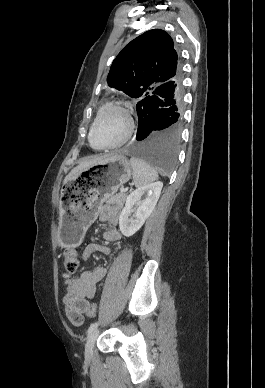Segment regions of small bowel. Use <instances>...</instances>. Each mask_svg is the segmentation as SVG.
I'll use <instances>...</instances> for the list:
<instances>
[{
    "instance_id": "c3829d8e",
    "label": "small bowel",
    "mask_w": 265,
    "mask_h": 388,
    "mask_svg": "<svg viewBox=\"0 0 265 388\" xmlns=\"http://www.w3.org/2000/svg\"><path fill=\"white\" fill-rule=\"evenodd\" d=\"M120 216L121 209L117 206L105 205L100 209V221L109 224L103 234L106 242L112 243L121 239V233L117 227ZM98 252L109 254L111 250L108 246L91 243L84 248L82 257L87 260L92 254ZM106 273L107 270L104 267L85 270L77 277H72L68 272L63 273V281L66 287L63 304L67 318L74 326L82 324L90 300L96 294L97 283L105 277Z\"/></svg>"
}]
</instances>
